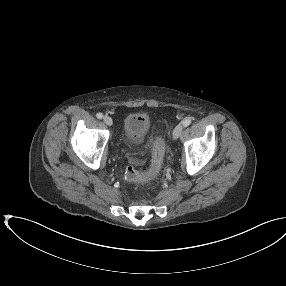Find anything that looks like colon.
I'll use <instances>...</instances> for the list:
<instances>
[{"label":"colon","mask_w":286,"mask_h":286,"mask_svg":"<svg viewBox=\"0 0 286 286\" xmlns=\"http://www.w3.org/2000/svg\"><path fill=\"white\" fill-rule=\"evenodd\" d=\"M165 153V142L162 137H157L153 143L151 166L147 173H142L133 164L126 167L125 176L128 181L139 182L156 176L163 165Z\"/></svg>","instance_id":"1"}]
</instances>
